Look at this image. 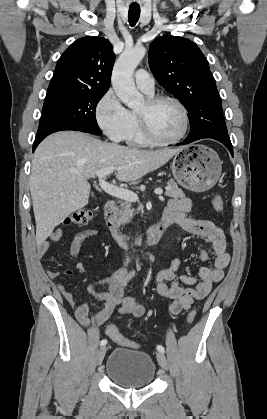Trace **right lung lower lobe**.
Listing matches in <instances>:
<instances>
[{
	"instance_id": "1",
	"label": "right lung lower lobe",
	"mask_w": 267,
	"mask_h": 419,
	"mask_svg": "<svg viewBox=\"0 0 267 419\" xmlns=\"http://www.w3.org/2000/svg\"><path fill=\"white\" fill-rule=\"evenodd\" d=\"M63 130H77V131H82V132H86V133H91L94 134L92 132H90L89 130L77 127L75 125H72L66 121L54 118V117H50V116H46V115H42L41 120H40V124H39V128H38V132L35 138V141L33 143V152L36 149V147L38 146V144L49 134L57 132V131H63Z\"/></svg>"
}]
</instances>
